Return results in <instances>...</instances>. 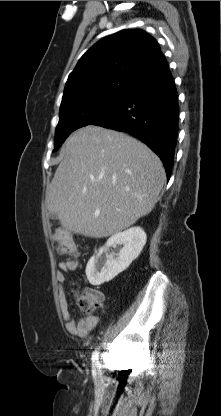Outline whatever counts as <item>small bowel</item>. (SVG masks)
<instances>
[{"label":"small bowel","instance_id":"obj_1","mask_svg":"<svg viewBox=\"0 0 221 416\" xmlns=\"http://www.w3.org/2000/svg\"><path fill=\"white\" fill-rule=\"evenodd\" d=\"M79 267L78 260H65L58 263V271L56 273V281L58 288V300L61 314L66 324L67 331L74 336L85 338L98 325L99 318L97 316H87L75 320L72 318L67 295L65 291L66 272L75 271ZM102 298V294L98 291Z\"/></svg>","mask_w":221,"mask_h":416}]
</instances>
